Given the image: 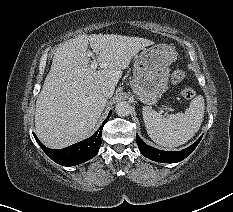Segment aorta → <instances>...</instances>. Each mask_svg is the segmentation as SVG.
Here are the masks:
<instances>
[{"label":"aorta","mask_w":233,"mask_h":212,"mask_svg":"<svg viewBox=\"0 0 233 212\" xmlns=\"http://www.w3.org/2000/svg\"><path fill=\"white\" fill-rule=\"evenodd\" d=\"M115 111L118 116L125 117L130 114L131 106L128 102L121 101L118 104H116Z\"/></svg>","instance_id":"1"}]
</instances>
